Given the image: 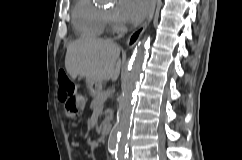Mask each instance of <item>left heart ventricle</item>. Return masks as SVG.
I'll return each instance as SVG.
<instances>
[{
    "label": "left heart ventricle",
    "mask_w": 242,
    "mask_h": 160,
    "mask_svg": "<svg viewBox=\"0 0 242 160\" xmlns=\"http://www.w3.org/2000/svg\"><path fill=\"white\" fill-rule=\"evenodd\" d=\"M105 11L108 12V13H110V14H112V15H113V13H114V9H113V7H109V8H107V9H105Z\"/></svg>",
    "instance_id": "1"
}]
</instances>
